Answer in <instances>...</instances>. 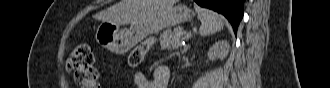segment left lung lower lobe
Instances as JSON below:
<instances>
[{
  "mask_svg": "<svg viewBox=\"0 0 330 88\" xmlns=\"http://www.w3.org/2000/svg\"><path fill=\"white\" fill-rule=\"evenodd\" d=\"M198 5L223 14L232 24L235 34L243 17V0H194Z\"/></svg>",
  "mask_w": 330,
  "mask_h": 88,
  "instance_id": "obj_1",
  "label": "left lung lower lobe"
}]
</instances>
